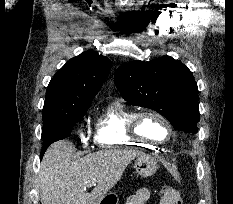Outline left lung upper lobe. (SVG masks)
Segmentation results:
<instances>
[{
  "instance_id": "1",
  "label": "left lung upper lobe",
  "mask_w": 233,
  "mask_h": 204,
  "mask_svg": "<svg viewBox=\"0 0 233 204\" xmlns=\"http://www.w3.org/2000/svg\"><path fill=\"white\" fill-rule=\"evenodd\" d=\"M115 83L130 105L153 108L162 113L175 130L197 133L198 88L190 70L169 56L120 66Z\"/></svg>"
}]
</instances>
